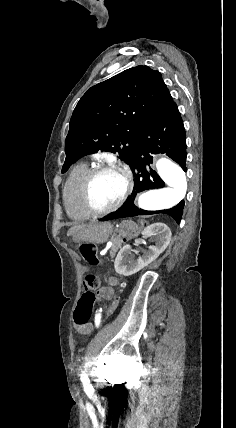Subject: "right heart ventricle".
Wrapping results in <instances>:
<instances>
[{
  "label": "right heart ventricle",
  "instance_id": "obj_1",
  "mask_svg": "<svg viewBox=\"0 0 236 428\" xmlns=\"http://www.w3.org/2000/svg\"><path fill=\"white\" fill-rule=\"evenodd\" d=\"M89 170L90 167L86 162L76 165L68 174L63 185V198L66 209L72 218L80 221L93 217V214L84 208L80 196L82 181Z\"/></svg>",
  "mask_w": 236,
  "mask_h": 428
}]
</instances>
